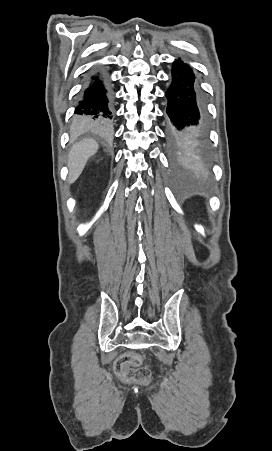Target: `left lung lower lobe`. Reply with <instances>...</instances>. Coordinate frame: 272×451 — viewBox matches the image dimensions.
Segmentation results:
<instances>
[{
    "label": "left lung lower lobe",
    "mask_w": 272,
    "mask_h": 451,
    "mask_svg": "<svg viewBox=\"0 0 272 451\" xmlns=\"http://www.w3.org/2000/svg\"><path fill=\"white\" fill-rule=\"evenodd\" d=\"M169 151L180 166H204L208 156L204 148V111L200 89L193 69L181 59L172 64L171 83L166 91Z\"/></svg>",
    "instance_id": "1"
}]
</instances>
